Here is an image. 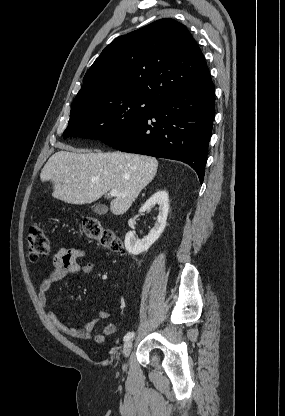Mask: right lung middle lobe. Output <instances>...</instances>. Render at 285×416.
Returning <instances> with one entry per match:
<instances>
[{"mask_svg":"<svg viewBox=\"0 0 285 416\" xmlns=\"http://www.w3.org/2000/svg\"><path fill=\"white\" fill-rule=\"evenodd\" d=\"M158 104L141 97H125L71 110L63 138L104 139L144 118Z\"/></svg>","mask_w":285,"mask_h":416,"instance_id":"dd1d6c3e","label":"right lung middle lobe"}]
</instances>
